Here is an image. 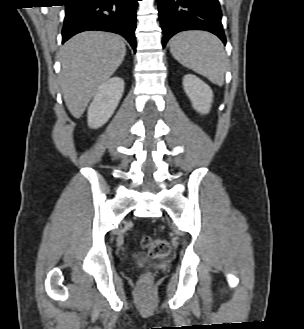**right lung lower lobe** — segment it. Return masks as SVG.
<instances>
[{
  "label": "right lung lower lobe",
  "mask_w": 304,
  "mask_h": 329,
  "mask_svg": "<svg viewBox=\"0 0 304 329\" xmlns=\"http://www.w3.org/2000/svg\"><path fill=\"white\" fill-rule=\"evenodd\" d=\"M62 43L88 30L122 35L136 51V7L138 0H66Z\"/></svg>",
  "instance_id": "obj_1"
}]
</instances>
